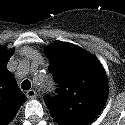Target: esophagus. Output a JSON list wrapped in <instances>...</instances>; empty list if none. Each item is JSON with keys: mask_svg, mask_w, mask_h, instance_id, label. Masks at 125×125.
<instances>
[{"mask_svg": "<svg viewBox=\"0 0 125 125\" xmlns=\"http://www.w3.org/2000/svg\"><path fill=\"white\" fill-rule=\"evenodd\" d=\"M26 96L29 98V99H34L36 98V91L34 89H30L26 92Z\"/></svg>", "mask_w": 125, "mask_h": 125, "instance_id": "1", "label": "esophagus"}]
</instances>
